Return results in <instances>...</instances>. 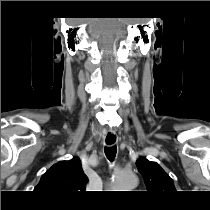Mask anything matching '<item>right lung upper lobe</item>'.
Listing matches in <instances>:
<instances>
[{"label": "right lung upper lobe", "mask_w": 210, "mask_h": 210, "mask_svg": "<svg viewBox=\"0 0 210 210\" xmlns=\"http://www.w3.org/2000/svg\"><path fill=\"white\" fill-rule=\"evenodd\" d=\"M87 181L80 159L74 157L69 161H60L48 169L34 191L62 203L77 198L85 190Z\"/></svg>", "instance_id": "right-lung-upper-lobe-1"}]
</instances>
